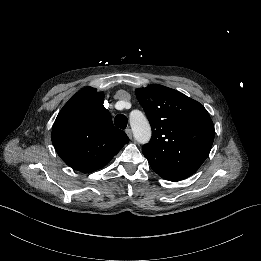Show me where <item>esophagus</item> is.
Segmentation results:
<instances>
[{
  "label": "esophagus",
  "mask_w": 261,
  "mask_h": 261,
  "mask_svg": "<svg viewBox=\"0 0 261 261\" xmlns=\"http://www.w3.org/2000/svg\"><path fill=\"white\" fill-rule=\"evenodd\" d=\"M125 133L127 134V136H128L129 139H132V138H133L132 130H131V129H126V130H125Z\"/></svg>",
  "instance_id": "1"
}]
</instances>
